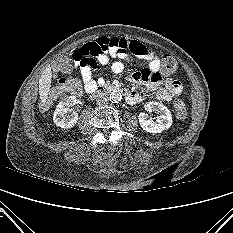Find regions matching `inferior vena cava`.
Here are the masks:
<instances>
[{
    "instance_id": "inferior-vena-cava-1",
    "label": "inferior vena cava",
    "mask_w": 233,
    "mask_h": 233,
    "mask_svg": "<svg viewBox=\"0 0 233 233\" xmlns=\"http://www.w3.org/2000/svg\"><path fill=\"white\" fill-rule=\"evenodd\" d=\"M96 98H97V103H98L99 105H103V104L107 103L108 100H109L108 96L105 95L104 93H99V94L96 96Z\"/></svg>"
}]
</instances>
